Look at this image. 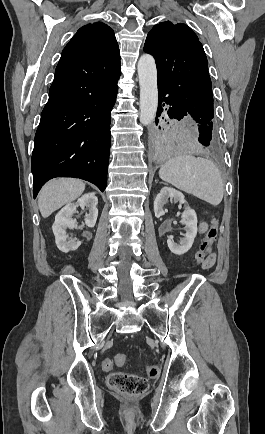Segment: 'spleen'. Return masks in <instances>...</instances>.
Returning <instances> with one entry per match:
<instances>
[{
    "instance_id": "1",
    "label": "spleen",
    "mask_w": 265,
    "mask_h": 434,
    "mask_svg": "<svg viewBox=\"0 0 265 434\" xmlns=\"http://www.w3.org/2000/svg\"><path fill=\"white\" fill-rule=\"evenodd\" d=\"M159 178L212 206H218L224 196L221 174L214 162L206 158L191 154L170 158L161 166Z\"/></svg>"
}]
</instances>
